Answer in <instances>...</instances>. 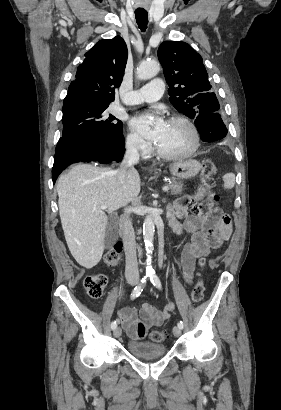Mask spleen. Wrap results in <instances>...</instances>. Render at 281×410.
<instances>
[{"instance_id":"1","label":"spleen","mask_w":281,"mask_h":410,"mask_svg":"<svg viewBox=\"0 0 281 410\" xmlns=\"http://www.w3.org/2000/svg\"><path fill=\"white\" fill-rule=\"evenodd\" d=\"M224 188L232 189L235 185V175L233 173H227L223 176Z\"/></svg>"}]
</instances>
